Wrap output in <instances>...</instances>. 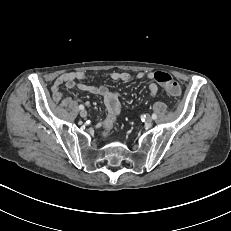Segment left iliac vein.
<instances>
[{
  "instance_id": "obj_1",
  "label": "left iliac vein",
  "mask_w": 231,
  "mask_h": 231,
  "mask_svg": "<svg viewBox=\"0 0 231 231\" xmlns=\"http://www.w3.org/2000/svg\"><path fill=\"white\" fill-rule=\"evenodd\" d=\"M152 122H153L152 118L151 117H147L146 121H145V125L149 127V126L152 125Z\"/></svg>"
}]
</instances>
